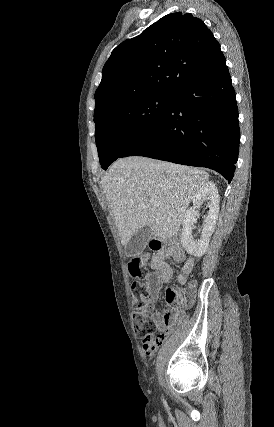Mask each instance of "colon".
<instances>
[{
	"label": "colon",
	"mask_w": 274,
	"mask_h": 427,
	"mask_svg": "<svg viewBox=\"0 0 274 427\" xmlns=\"http://www.w3.org/2000/svg\"><path fill=\"white\" fill-rule=\"evenodd\" d=\"M134 264V276L140 277L143 274L149 273V261L140 259L138 256L134 255L128 265ZM137 289L136 284L132 285V290ZM177 297V291L174 286H167L165 288V299L168 303L175 301ZM133 324L136 330L138 337L142 338H151V354H152V332L156 330V321L153 315L147 312V306L144 300L138 295L134 296V312L132 315Z\"/></svg>",
	"instance_id": "1"
}]
</instances>
